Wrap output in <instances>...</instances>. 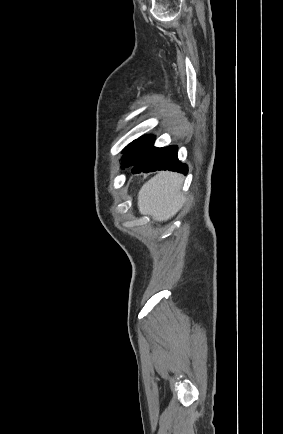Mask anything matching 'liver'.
Returning a JSON list of instances; mask_svg holds the SVG:
<instances>
[{
	"mask_svg": "<svg viewBox=\"0 0 283 434\" xmlns=\"http://www.w3.org/2000/svg\"><path fill=\"white\" fill-rule=\"evenodd\" d=\"M183 176L169 171L158 172L138 193V209L162 222L171 219L182 207L185 197L181 192Z\"/></svg>",
	"mask_w": 283,
	"mask_h": 434,
	"instance_id": "liver-1",
	"label": "liver"
}]
</instances>
